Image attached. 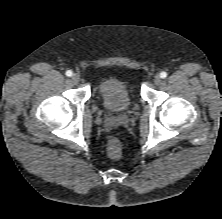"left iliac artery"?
I'll return each mask as SVG.
<instances>
[{
	"mask_svg": "<svg viewBox=\"0 0 222 219\" xmlns=\"http://www.w3.org/2000/svg\"><path fill=\"white\" fill-rule=\"evenodd\" d=\"M160 77L161 78H166L167 77V73L166 72H164V71H162L161 73H160Z\"/></svg>",
	"mask_w": 222,
	"mask_h": 219,
	"instance_id": "44dca946",
	"label": "left iliac artery"
}]
</instances>
